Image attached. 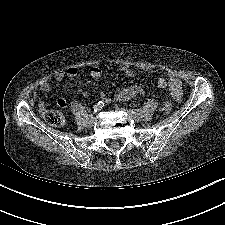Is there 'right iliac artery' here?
<instances>
[{
    "mask_svg": "<svg viewBox=\"0 0 225 225\" xmlns=\"http://www.w3.org/2000/svg\"><path fill=\"white\" fill-rule=\"evenodd\" d=\"M104 107V103L102 101H99L98 103H96L93 107V111L94 113L99 112L102 108Z\"/></svg>",
    "mask_w": 225,
    "mask_h": 225,
    "instance_id": "right-iliac-artery-1",
    "label": "right iliac artery"
}]
</instances>
